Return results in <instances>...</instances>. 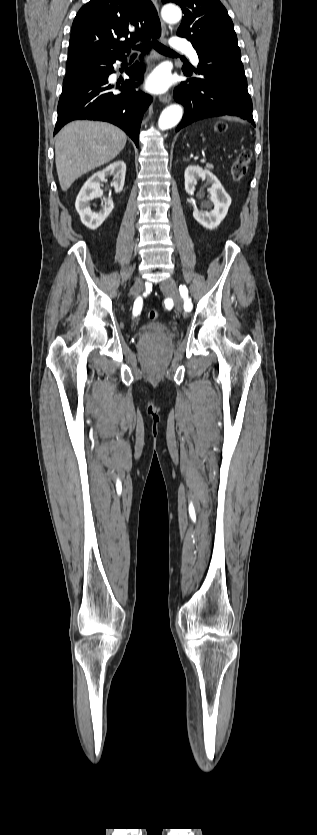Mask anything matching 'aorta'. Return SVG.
Masks as SVG:
<instances>
[{
	"instance_id": "obj_1",
	"label": "aorta",
	"mask_w": 317,
	"mask_h": 835,
	"mask_svg": "<svg viewBox=\"0 0 317 835\" xmlns=\"http://www.w3.org/2000/svg\"><path fill=\"white\" fill-rule=\"evenodd\" d=\"M161 15L165 22L169 24H176L181 20L182 12L178 6L169 4L162 8ZM182 115L183 109L180 105H170L166 107L162 111L158 121L159 130L164 131L173 128L180 122Z\"/></svg>"
}]
</instances>
